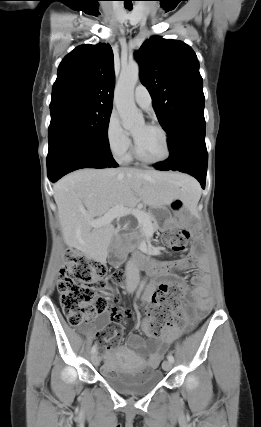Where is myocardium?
<instances>
[{
	"label": "myocardium",
	"mask_w": 261,
	"mask_h": 427,
	"mask_svg": "<svg viewBox=\"0 0 261 427\" xmlns=\"http://www.w3.org/2000/svg\"><path fill=\"white\" fill-rule=\"evenodd\" d=\"M147 126L150 128H154V129L158 130L162 134V136L164 138V142H165V147H166L165 155L162 158L157 159V160H148V159L143 158L138 153L135 139L133 142L132 155H133L135 160H137L138 162H140L144 165H157V164L163 163L166 160H168L169 157L171 156V144H170L169 135H168L166 129L163 126H161L160 124L149 123V124H147Z\"/></svg>",
	"instance_id": "1"
}]
</instances>
